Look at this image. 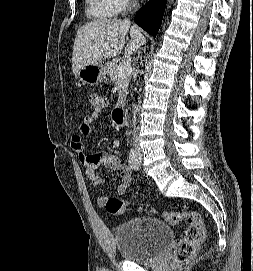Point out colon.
<instances>
[{
	"label": "colon",
	"instance_id": "obj_1",
	"mask_svg": "<svg viewBox=\"0 0 253 271\" xmlns=\"http://www.w3.org/2000/svg\"><path fill=\"white\" fill-rule=\"evenodd\" d=\"M90 102L95 113L101 112L107 104L106 98L103 95L92 93ZM107 212L113 215L125 213L129 204L118 198H109L103 204ZM154 213H159L162 218L169 224L177 225L182 222L187 223L182 239L178 242L175 251L174 259L180 263L187 262L196 252L198 246L202 244L206 238V227L203 216L194 210H185L180 212H159L156 209H151Z\"/></svg>",
	"mask_w": 253,
	"mask_h": 271
}]
</instances>
